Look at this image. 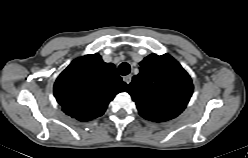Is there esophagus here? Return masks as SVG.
Wrapping results in <instances>:
<instances>
[{"label": "esophagus", "instance_id": "obj_1", "mask_svg": "<svg viewBox=\"0 0 248 158\" xmlns=\"http://www.w3.org/2000/svg\"><path fill=\"white\" fill-rule=\"evenodd\" d=\"M123 80L127 85H129L132 80V77L130 75H127L123 77Z\"/></svg>", "mask_w": 248, "mask_h": 158}]
</instances>
